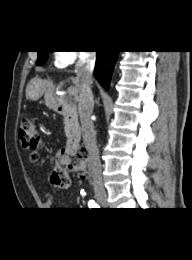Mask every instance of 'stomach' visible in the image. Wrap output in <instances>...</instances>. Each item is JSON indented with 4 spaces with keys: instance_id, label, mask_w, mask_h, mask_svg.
Masks as SVG:
<instances>
[{
    "instance_id": "stomach-1",
    "label": "stomach",
    "mask_w": 192,
    "mask_h": 260,
    "mask_svg": "<svg viewBox=\"0 0 192 260\" xmlns=\"http://www.w3.org/2000/svg\"><path fill=\"white\" fill-rule=\"evenodd\" d=\"M42 87L37 85H32L28 90L29 99L37 100L42 96Z\"/></svg>"
}]
</instances>
